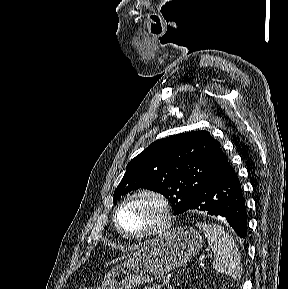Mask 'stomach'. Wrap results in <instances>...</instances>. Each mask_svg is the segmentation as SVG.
<instances>
[{
    "instance_id": "obj_1",
    "label": "stomach",
    "mask_w": 288,
    "mask_h": 289,
    "mask_svg": "<svg viewBox=\"0 0 288 289\" xmlns=\"http://www.w3.org/2000/svg\"><path fill=\"white\" fill-rule=\"evenodd\" d=\"M202 242L195 228H172L109 271L101 286L81 289H132L152 282L190 261L201 249Z\"/></svg>"
}]
</instances>
